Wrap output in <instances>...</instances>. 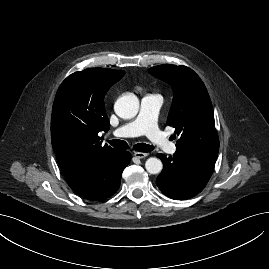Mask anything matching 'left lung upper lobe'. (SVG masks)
<instances>
[{"label": "left lung upper lobe", "instance_id": "1", "mask_svg": "<svg viewBox=\"0 0 269 269\" xmlns=\"http://www.w3.org/2000/svg\"><path fill=\"white\" fill-rule=\"evenodd\" d=\"M149 72L172 86L174 97L167 124L179 136L176 148L218 152L212 103L200 77L186 66L170 64L152 67Z\"/></svg>", "mask_w": 269, "mask_h": 269}]
</instances>
